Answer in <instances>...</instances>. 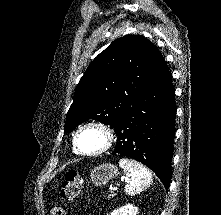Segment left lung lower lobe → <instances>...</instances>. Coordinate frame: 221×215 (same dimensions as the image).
Instances as JSON below:
<instances>
[{"label": "left lung lower lobe", "instance_id": "1", "mask_svg": "<svg viewBox=\"0 0 221 215\" xmlns=\"http://www.w3.org/2000/svg\"><path fill=\"white\" fill-rule=\"evenodd\" d=\"M175 90L166 63L116 126L112 154L131 157L155 172L168 190L175 135Z\"/></svg>", "mask_w": 221, "mask_h": 215}]
</instances>
